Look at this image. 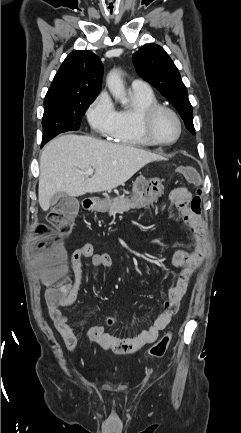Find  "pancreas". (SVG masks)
Returning a JSON list of instances; mask_svg holds the SVG:
<instances>
[{
	"instance_id": "cf45deb5",
	"label": "pancreas",
	"mask_w": 241,
	"mask_h": 433,
	"mask_svg": "<svg viewBox=\"0 0 241 433\" xmlns=\"http://www.w3.org/2000/svg\"><path fill=\"white\" fill-rule=\"evenodd\" d=\"M136 204L133 203L129 198L120 196L112 200V202L105 209L108 211L109 216H115L118 213L127 212L130 209H134Z\"/></svg>"
}]
</instances>
